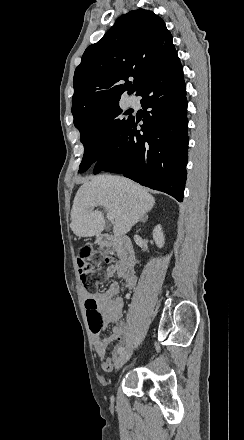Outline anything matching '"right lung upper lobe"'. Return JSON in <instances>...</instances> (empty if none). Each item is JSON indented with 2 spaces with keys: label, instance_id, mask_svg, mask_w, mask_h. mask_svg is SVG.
I'll use <instances>...</instances> for the list:
<instances>
[{
  "label": "right lung upper lobe",
  "instance_id": "cb5924a9",
  "mask_svg": "<svg viewBox=\"0 0 244 440\" xmlns=\"http://www.w3.org/2000/svg\"><path fill=\"white\" fill-rule=\"evenodd\" d=\"M179 63L164 21L150 10L130 11L85 50L74 73L72 110L139 93L151 76ZM129 77L133 84L123 83Z\"/></svg>",
  "mask_w": 244,
  "mask_h": 440
}]
</instances>
